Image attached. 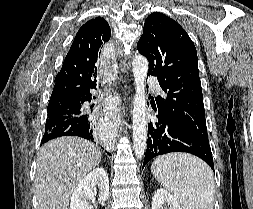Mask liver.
Segmentation results:
<instances>
[{"instance_id": "1", "label": "liver", "mask_w": 253, "mask_h": 209, "mask_svg": "<svg viewBox=\"0 0 253 209\" xmlns=\"http://www.w3.org/2000/svg\"><path fill=\"white\" fill-rule=\"evenodd\" d=\"M100 161L98 146L80 137L63 136L43 145L35 178L37 209H68L76 186Z\"/></svg>"}]
</instances>
